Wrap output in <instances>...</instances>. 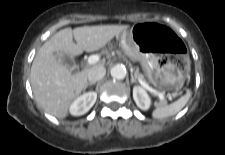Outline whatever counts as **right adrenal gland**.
<instances>
[{
  "instance_id": "1",
  "label": "right adrenal gland",
  "mask_w": 225,
  "mask_h": 155,
  "mask_svg": "<svg viewBox=\"0 0 225 155\" xmlns=\"http://www.w3.org/2000/svg\"><path fill=\"white\" fill-rule=\"evenodd\" d=\"M92 85H95V82H89V83H87L86 88H87L88 86H92Z\"/></svg>"
}]
</instances>
